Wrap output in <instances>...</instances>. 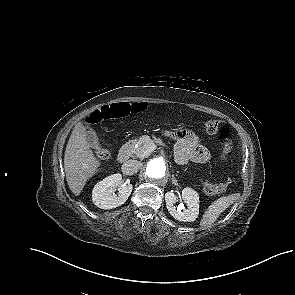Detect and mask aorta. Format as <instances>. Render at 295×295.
Here are the masks:
<instances>
[{
	"mask_svg": "<svg viewBox=\"0 0 295 295\" xmlns=\"http://www.w3.org/2000/svg\"><path fill=\"white\" fill-rule=\"evenodd\" d=\"M168 167L162 158L151 159L146 166V176L151 181H159L167 175Z\"/></svg>",
	"mask_w": 295,
	"mask_h": 295,
	"instance_id": "1",
	"label": "aorta"
}]
</instances>
